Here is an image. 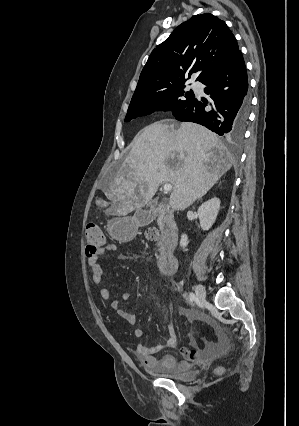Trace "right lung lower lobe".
Returning a JSON list of instances; mask_svg holds the SVG:
<instances>
[{
    "label": "right lung lower lobe",
    "instance_id": "obj_1",
    "mask_svg": "<svg viewBox=\"0 0 299 426\" xmlns=\"http://www.w3.org/2000/svg\"><path fill=\"white\" fill-rule=\"evenodd\" d=\"M201 83L210 99L194 97L173 114L179 121L201 124L220 136L240 138L248 119V80L241 52L225 67L209 74Z\"/></svg>",
    "mask_w": 299,
    "mask_h": 426
}]
</instances>
